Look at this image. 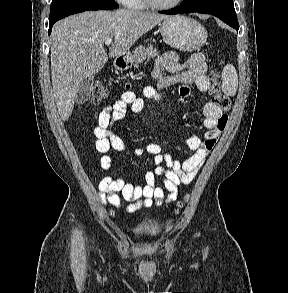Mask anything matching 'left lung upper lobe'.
Masks as SVG:
<instances>
[{
  "instance_id": "5c2ea615",
  "label": "left lung upper lobe",
  "mask_w": 288,
  "mask_h": 293,
  "mask_svg": "<svg viewBox=\"0 0 288 293\" xmlns=\"http://www.w3.org/2000/svg\"><path fill=\"white\" fill-rule=\"evenodd\" d=\"M181 4L185 6H196L200 8H217L232 14H236L232 0H183Z\"/></svg>"
}]
</instances>
